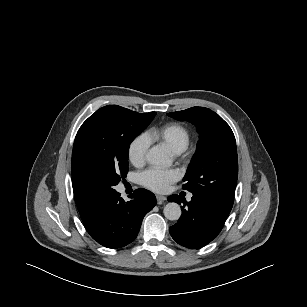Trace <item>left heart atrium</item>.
Here are the masks:
<instances>
[{"label":"left heart atrium","instance_id":"obj_1","mask_svg":"<svg viewBox=\"0 0 307 307\" xmlns=\"http://www.w3.org/2000/svg\"><path fill=\"white\" fill-rule=\"evenodd\" d=\"M180 178L175 169H161L151 167L139 175L140 183L146 188L155 192H164L169 185Z\"/></svg>","mask_w":307,"mask_h":307}]
</instances>
